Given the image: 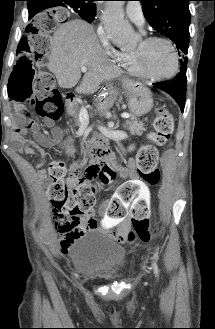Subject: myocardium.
<instances>
[{
  "mask_svg": "<svg viewBox=\"0 0 215 329\" xmlns=\"http://www.w3.org/2000/svg\"><path fill=\"white\" fill-rule=\"evenodd\" d=\"M156 42L165 43L172 50V53H173L174 59H175V65H174V69L169 74L155 76V75L148 73L143 68L145 50L147 47H149L150 45H152L153 43H156ZM132 59H133L134 68L136 69L138 75L145 77L147 79L153 80V81H164V80H169V79L173 78L179 71V67H180V58H179L178 50H177L175 44L170 39L161 37V36H149V37L143 38L141 40V44H140L139 48L137 50L133 51Z\"/></svg>",
  "mask_w": 215,
  "mask_h": 329,
  "instance_id": "myocardium-1",
  "label": "myocardium"
}]
</instances>
